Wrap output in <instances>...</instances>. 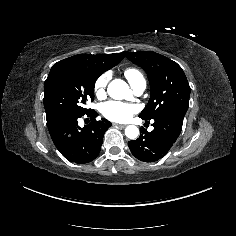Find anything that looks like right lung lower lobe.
Masks as SVG:
<instances>
[{
  "label": "right lung lower lobe",
  "instance_id": "right-lung-lower-lobe-1",
  "mask_svg": "<svg viewBox=\"0 0 236 236\" xmlns=\"http://www.w3.org/2000/svg\"><path fill=\"white\" fill-rule=\"evenodd\" d=\"M88 117L89 126L78 125L80 117ZM98 113L90 109L80 116L61 114L47 119L50 136L59 152L70 162L85 164L94 160L101 149L103 136L112 125L102 118L97 121Z\"/></svg>",
  "mask_w": 236,
  "mask_h": 236
}]
</instances>
